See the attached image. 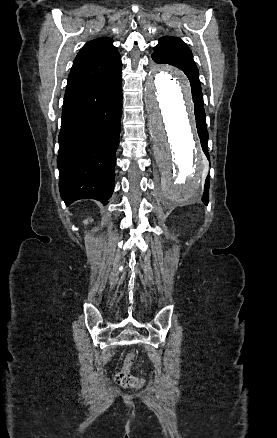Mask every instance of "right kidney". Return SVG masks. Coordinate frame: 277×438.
I'll list each match as a JSON object with an SVG mask.
<instances>
[{"label": "right kidney", "mask_w": 277, "mask_h": 438, "mask_svg": "<svg viewBox=\"0 0 277 438\" xmlns=\"http://www.w3.org/2000/svg\"><path fill=\"white\" fill-rule=\"evenodd\" d=\"M89 222H93V220H84L83 224H89Z\"/></svg>", "instance_id": "1"}]
</instances>
